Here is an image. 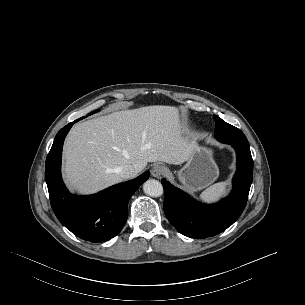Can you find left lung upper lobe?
<instances>
[{"label": "left lung upper lobe", "instance_id": "left-lung-upper-lobe-1", "mask_svg": "<svg viewBox=\"0 0 305 305\" xmlns=\"http://www.w3.org/2000/svg\"><path fill=\"white\" fill-rule=\"evenodd\" d=\"M216 127L215 138L220 142L235 141L242 144H249L245 135L238 128L224 122L221 118L214 115Z\"/></svg>", "mask_w": 305, "mask_h": 305}]
</instances>
